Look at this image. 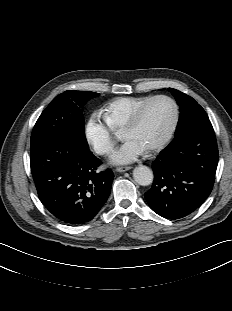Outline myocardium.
<instances>
[{"label":"myocardium","mask_w":232,"mask_h":311,"mask_svg":"<svg viewBox=\"0 0 232 311\" xmlns=\"http://www.w3.org/2000/svg\"><path fill=\"white\" fill-rule=\"evenodd\" d=\"M157 100H166L171 104L173 108V117H172L170 126L167 132L165 133V135L162 137V139L159 142H157L155 145L146 149V151L149 153L161 150L170 141V139L172 138L175 132V129L177 127L178 120H179V109H178L177 103L175 102L173 98L167 95L152 96L151 98L146 100L142 105H140L137 108V110L134 112V114L132 115V117L130 118V120L128 121V123L126 124V126L124 127L122 131L123 134H125L126 132H129L132 129H134L140 123L146 109L150 106V104H152L153 102Z\"/></svg>","instance_id":"f54148a6"}]
</instances>
